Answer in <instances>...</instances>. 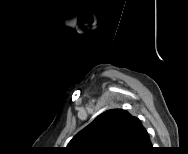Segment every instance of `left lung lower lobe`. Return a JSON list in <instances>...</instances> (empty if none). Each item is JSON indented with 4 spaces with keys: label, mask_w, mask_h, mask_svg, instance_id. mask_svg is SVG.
Returning a JSON list of instances; mask_svg holds the SVG:
<instances>
[{
    "label": "left lung lower lobe",
    "mask_w": 188,
    "mask_h": 154,
    "mask_svg": "<svg viewBox=\"0 0 188 154\" xmlns=\"http://www.w3.org/2000/svg\"><path fill=\"white\" fill-rule=\"evenodd\" d=\"M151 149V142L146 129L141 124L140 120L136 118L134 124L133 138L130 144L128 154H139L141 151Z\"/></svg>",
    "instance_id": "obj_1"
}]
</instances>
